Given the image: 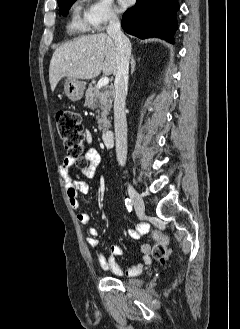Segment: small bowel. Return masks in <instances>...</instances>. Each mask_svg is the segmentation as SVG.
<instances>
[{
  "mask_svg": "<svg viewBox=\"0 0 240 329\" xmlns=\"http://www.w3.org/2000/svg\"><path fill=\"white\" fill-rule=\"evenodd\" d=\"M86 140L89 143L91 141L90 132L86 133ZM86 163L80 168L81 174L86 178H94L97 174L98 168L101 164V157L96 149L88 148L85 151ZM74 163V158L67 157L63 159L59 165V173L62 176L65 183V192L68 198V202L73 209H78L81 206L79 194H86L89 192V185L82 180L73 179L70 176V168ZM77 219L80 224L87 225L90 223L91 217L88 213L82 212L77 215ZM146 230L145 224H140L129 230V235L132 239H138ZM89 237L87 238V245L96 251V255L100 266L114 275L122 276L123 270L116 261V257L122 255L124 252L123 246L114 245L105 254L99 249L100 242L98 240L99 230L96 227H90L88 229ZM141 253V259L138 263L130 266L126 270V274L130 277L139 275L142 272L143 267L150 266L152 259L150 257L151 248L148 244H141L139 247Z\"/></svg>",
  "mask_w": 240,
  "mask_h": 329,
  "instance_id": "c3829d8e",
  "label": "small bowel"
}]
</instances>
